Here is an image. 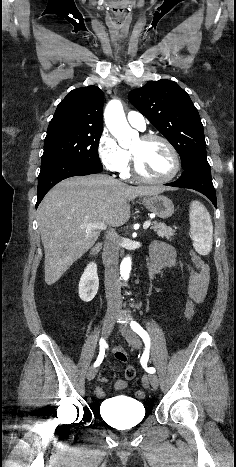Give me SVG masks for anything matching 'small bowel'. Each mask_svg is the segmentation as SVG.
I'll return each instance as SVG.
<instances>
[{"instance_id": "c3829d8e", "label": "small bowel", "mask_w": 236, "mask_h": 467, "mask_svg": "<svg viewBox=\"0 0 236 467\" xmlns=\"http://www.w3.org/2000/svg\"><path fill=\"white\" fill-rule=\"evenodd\" d=\"M150 258L151 274H156L165 268H171L177 264L174 248L171 245L161 241H157L153 244L150 250ZM187 270L189 273V297L193 302L201 303L204 301L209 287V267L204 263L200 269L194 270L190 265H187ZM118 352L124 353L121 349H114V356H116ZM117 361L125 362L126 359L124 361ZM135 374V368L132 365L127 364L125 367V378L115 383V390L119 391L126 389L128 387V382L135 377ZM100 381L107 382L108 378L106 376H101ZM95 393L99 398L106 396V392L100 387L96 388Z\"/></svg>"}]
</instances>
